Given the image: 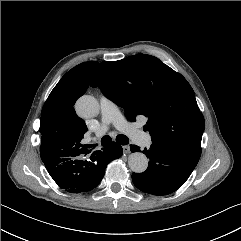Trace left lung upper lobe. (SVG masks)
I'll use <instances>...</instances> for the list:
<instances>
[{"label": "left lung upper lobe", "instance_id": "5c2ea615", "mask_svg": "<svg viewBox=\"0 0 241 241\" xmlns=\"http://www.w3.org/2000/svg\"><path fill=\"white\" fill-rule=\"evenodd\" d=\"M90 85L100 87L123 107L130 121L148 118L143 128L152 143L172 147L200 158L205 121L186 79L158 58L137 54L123 60L102 62Z\"/></svg>", "mask_w": 241, "mask_h": 241}]
</instances>
